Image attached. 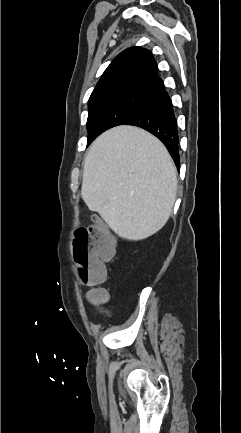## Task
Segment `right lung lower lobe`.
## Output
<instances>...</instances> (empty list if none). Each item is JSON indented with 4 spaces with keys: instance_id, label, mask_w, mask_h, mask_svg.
Instances as JSON below:
<instances>
[{
    "instance_id": "obj_1",
    "label": "right lung lower lobe",
    "mask_w": 241,
    "mask_h": 433,
    "mask_svg": "<svg viewBox=\"0 0 241 433\" xmlns=\"http://www.w3.org/2000/svg\"><path fill=\"white\" fill-rule=\"evenodd\" d=\"M124 125L141 127L159 138L167 147L179 170L177 121L171 99L164 85L157 89L151 95L148 103Z\"/></svg>"
}]
</instances>
